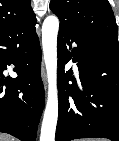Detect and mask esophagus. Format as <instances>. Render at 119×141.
<instances>
[{"instance_id": "obj_1", "label": "esophagus", "mask_w": 119, "mask_h": 141, "mask_svg": "<svg viewBox=\"0 0 119 141\" xmlns=\"http://www.w3.org/2000/svg\"><path fill=\"white\" fill-rule=\"evenodd\" d=\"M41 77H42L44 84L46 85V72H45L44 64H42V67H41Z\"/></svg>"}]
</instances>
